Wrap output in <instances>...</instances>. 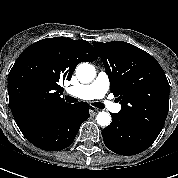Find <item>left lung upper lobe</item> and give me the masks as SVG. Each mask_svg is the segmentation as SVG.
Listing matches in <instances>:
<instances>
[{
	"instance_id": "5c2ea615",
	"label": "left lung upper lobe",
	"mask_w": 178,
	"mask_h": 178,
	"mask_svg": "<svg viewBox=\"0 0 178 178\" xmlns=\"http://www.w3.org/2000/svg\"><path fill=\"white\" fill-rule=\"evenodd\" d=\"M122 106L119 115L161 132L169 107L170 87L160 64L142 49L123 41L93 42Z\"/></svg>"
}]
</instances>
